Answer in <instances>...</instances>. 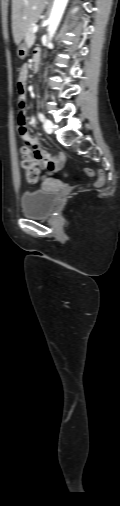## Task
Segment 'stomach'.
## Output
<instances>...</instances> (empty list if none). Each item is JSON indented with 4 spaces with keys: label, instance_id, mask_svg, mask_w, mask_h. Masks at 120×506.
<instances>
[{
    "label": "stomach",
    "instance_id": "stomach-1",
    "mask_svg": "<svg viewBox=\"0 0 120 506\" xmlns=\"http://www.w3.org/2000/svg\"><path fill=\"white\" fill-rule=\"evenodd\" d=\"M18 45H19V47H18L17 55L19 58L23 59L28 54V46L25 42L24 43L20 42Z\"/></svg>",
    "mask_w": 120,
    "mask_h": 506
}]
</instances>
